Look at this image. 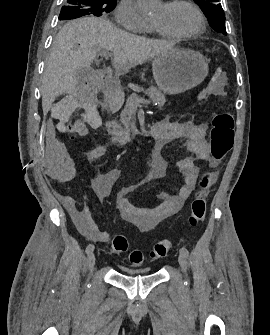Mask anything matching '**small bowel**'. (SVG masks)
<instances>
[{
  "label": "small bowel",
  "instance_id": "obj_1",
  "mask_svg": "<svg viewBox=\"0 0 270 335\" xmlns=\"http://www.w3.org/2000/svg\"><path fill=\"white\" fill-rule=\"evenodd\" d=\"M76 123L74 126L79 125ZM157 124L158 135L156 136L155 147L153 150V168L150 174L151 179H162L166 176L168 161L162 155L163 148L173 141H183L187 151L195 155L199 160L211 164L208 144L205 140V134L208 129L206 123L193 124L189 122L170 121L168 119L160 120ZM73 127H63V121H46L45 134H73ZM47 152L50 158H40V165H46L48 178H59L67 181L74 178L73 169H79V162H73L69 158V144H57L54 135H46ZM107 148L99 145L87 153L89 161L97 160L103 157ZM183 179V184L177 194L167 195L163 202L155 205L136 206L129 202L127 194L134 190V187L122 188L116 197V207L121 218L134 225L142 232L149 231L154 225L177 214L184 206L196 186L199 175V167L194 163L192 157L188 156L177 161L175 165ZM93 189L97 199L102 203L111 194L114 185L121 177L120 168H111L102 171L98 168L92 170ZM67 209L76 223L80 232L88 239L105 243L109 240V233L102 230L93 220L90 206L86 197H84L83 207L77 208V201L69 196L63 198Z\"/></svg>",
  "mask_w": 270,
  "mask_h": 335
}]
</instances>
